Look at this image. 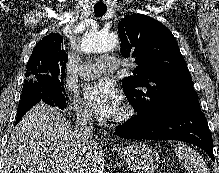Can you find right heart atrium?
<instances>
[{"label": "right heart atrium", "mask_w": 219, "mask_h": 173, "mask_svg": "<svg viewBox=\"0 0 219 173\" xmlns=\"http://www.w3.org/2000/svg\"><path fill=\"white\" fill-rule=\"evenodd\" d=\"M72 107L77 118L84 122H90L93 119L91 111L77 98H71Z\"/></svg>", "instance_id": "right-heart-atrium-1"}]
</instances>
